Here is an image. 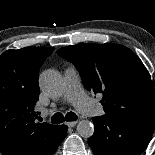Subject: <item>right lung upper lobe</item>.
<instances>
[{
	"instance_id": "cb5924a9",
	"label": "right lung upper lobe",
	"mask_w": 155,
	"mask_h": 155,
	"mask_svg": "<svg viewBox=\"0 0 155 155\" xmlns=\"http://www.w3.org/2000/svg\"><path fill=\"white\" fill-rule=\"evenodd\" d=\"M54 47H25L0 55V152L3 155H52L63 127L36 123L39 68Z\"/></svg>"
}]
</instances>
